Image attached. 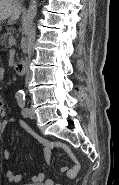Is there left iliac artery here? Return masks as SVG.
Returning a JSON list of instances; mask_svg holds the SVG:
<instances>
[{"label": "left iliac artery", "mask_w": 119, "mask_h": 185, "mask_svg": "<svg viewBox=\"0 0 119 185\" xmlns=\"http://www.w3.org/2000/svg\"><path fill=\"white\" fill-rule=\"evenodd\" d=\"M18 105L21 108V113L23 116L27 117L28 108L25 107V97L21 99H17Z\"/></svg>", "instance_id": "44dca946"}]
</instances>
